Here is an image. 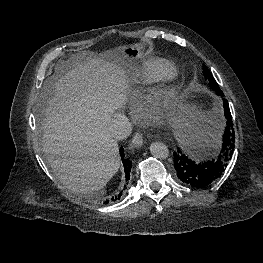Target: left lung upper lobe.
Returning <instances> with one entry per match:
<instances>
[{"label": "left lung upper lobe", "instance_id": "5c2ea615", "mask_svg": "<svg viewBox=\"0 0 263 263\" xmlns=\"http://www.w3.org/2000/svg\"><path fill=\"white\" fill-rule=\"evenodd\" d=\"M203 75L205 79L209 81V86L211 89H213L216 93L222 92L217 82L215 81L214 77L211 75L210 71L205 65H203Z\"/></svg>", "mask_w": 263, "mask_h": 263}]
</instances>
